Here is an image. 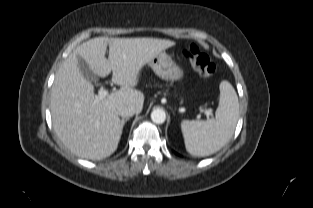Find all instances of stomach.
Wrapping results in <instances>:
<instances>
[{
  "instance_id": "stomach-1",
  "label": "stomach",
  "mask_w": 313,
  "mask_h": 208,
  "mask_svg": "<svg viewBox=\"0 0 313 208\" xmlns=\"http://www.w3.org/2000/svg\"><path fill=\"white\" fill-rule=\"evenodd\" d=\"M149 65L155 74L164 80L174 82L183 78L182 69L165 52H161L152 58Z\"/></svg>"
}]
</instances>
